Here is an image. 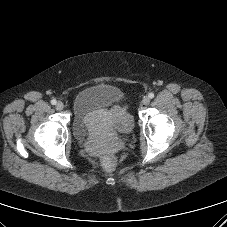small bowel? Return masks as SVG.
<instances>
[{"label":"small bowel","mask_w":227,"mask_h":227,"mask_svg":"<svg viewBox=\"0 0 227 227\" xmlns=\"http://www.w3.org/2000/svg\"><path fill=\"white\" fill-rule=\"evenodd\" d=\"M114 112H118V109H117V108H115V109H114Z\"/></svg>","instance_id":"1"}]
</instances>
